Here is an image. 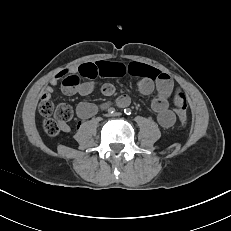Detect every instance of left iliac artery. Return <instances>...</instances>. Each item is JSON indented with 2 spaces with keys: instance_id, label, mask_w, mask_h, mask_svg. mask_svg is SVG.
<instances>
[{
  "instance_id": "obj_1",
  "label": "left iliac artery",
  "mask_w": 231,
  "mask_h": 231,
  "mask_svg": "<svg viewBox=\"0 0 231 231\" xmlns=\"http://www.w3.org/2000/svg\"><path fill=\"white\" fill-rule=\"evenodd\" d=\"M131 109H129V108H127V109H124V113L126 114V115H131Z\"/></svg>"
}]
</instances>
